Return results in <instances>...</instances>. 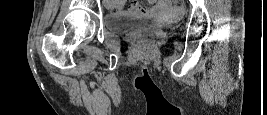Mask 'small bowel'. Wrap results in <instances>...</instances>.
Here are the masks:
<instances>
[{
    "label": "small bowel",
    "instance_id": "1",
    "mask_svg": "<svg viewBox=\"0 0 267 115\" xmlns=\"http://www.w3.org/2000/svg\"><path fill=\"white\" fill-rule=\"evenodd\" d=\"M179 11L180 7L173 5L169 0L151 2L147 6L138 2H133L127 8V12L138 15H166L170 13H178Z\"/></svg>",
    "mask_w": 267,
    "mask_h": 115
}]
</instances>
